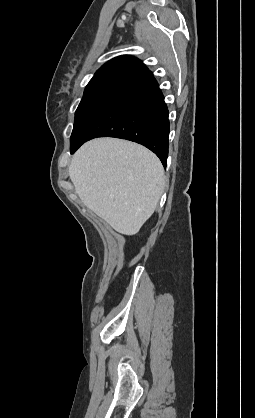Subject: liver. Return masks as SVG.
Instances as JSON below:
<instances>
[{"mask_svg": "<svg viewBox=\"0 0 255 418\" xmlns=\"http://www.w3.org/2000/svg\"><path fill=\"white\" fill-rule=\"evenodd\" d=\"M69 177L84 205L114 230L136 234L154 213L164 189V169L145 147L99 138L73 156Z\"/></svg>", "mask_w": 255, "mask_h": 418, "instance_id": "6515ba94", "label": "liver"}]
</instances>
